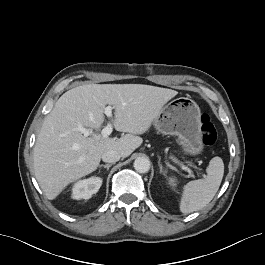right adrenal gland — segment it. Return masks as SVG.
<instances>
[{"mask_svg": "<svg viewBox=\"0 0 265 265\" xmlns=\"http://www.w3.org/2000/svg\"><path fill=\"white\" fill-rule=\"evenodd\" d=\"M112 166V164H105V165H99V168H106L107 170H109V168Z\"/></svg>", "mask_w": 265, "mask_h": 265, "instance_id": "2a0ac1e0", "label": "right adrenal gland"}]
</instances>
